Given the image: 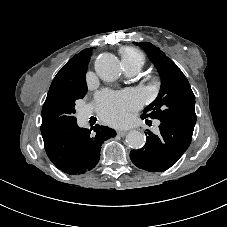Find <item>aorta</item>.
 <instances>
[{
    "label": "aorta",
    "mask_w": 227,
    "mask_h": 227,
    "mask_svg": "<svg viewBox=\"0 0 227 227\" xmlns=\"http://www.w3.org/2000/svg\"><path fill=\"white\" fill-rule=\"evenodd\" d=\"M95 71L100 79L114 81L120 74V62L112 53H102L95 60ZM126 142L134 149L142 148L146 142V136L140 131L131 130L126 136Z\"/></svg>",
    "instance_id": "aorta-1"
}]
</instances>
